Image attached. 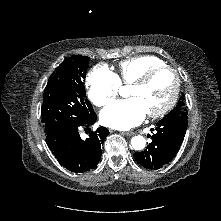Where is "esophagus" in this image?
<instances>
[{
    "label": "esophagus",
    "mask_w": 221,
    "mask_h": 221,
    "mask_svg": "<svg viewBox=\"0 0 221 221\" xmlns=\"http://www.w3.org/2000/svg\"><path fill=\"white\" fill-rule=\"evenodd\" d=\"M122 134L126 136H132L134 133L129 131V132H123Z\"/></svg>",
    "instance_id": "1"
}]
</instances>
